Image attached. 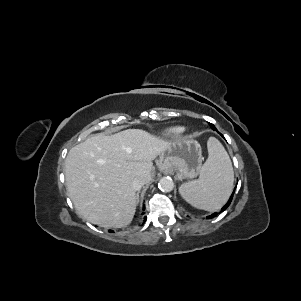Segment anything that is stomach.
Wrapping results in <instances>:
<instances>
[{"mask_svg":"<svg viewBox=\"0 0 301 301\" xmlns=\"http://www.w3.org/2000/svg\"><path fill=\"white\" fill-rule=\"evenodd\" d=\"M200 144L191 137L171 142L159 156V169L172 171L178 177L192 179L202 170Z\"/></svg>","mask_w":301,"mask_h":301,"instance_id":"0dacf381","label":"stomach"}]
</instances>
